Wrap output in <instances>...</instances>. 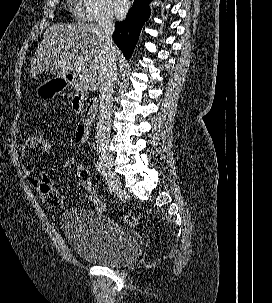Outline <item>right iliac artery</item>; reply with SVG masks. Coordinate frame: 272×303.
<instances>
[{
    "label": "right iliac artery",
    "mask_w": 272,
    "mask_h": 303,
    "mask_svg": "<svg viewBox=\"0 0 272 303\" xmlns=\"http://www.w3.org/2000/svg\"><path fill=\"white\" fill-rule=\"evenodd\" d=\"M95 167L97 168V170L99 171V173L103 176V178L105 179L107 185H108V189H109V192L111 194H113L114 192V186L111 182V179L109 177V174L108 172L106 171L105 167L103 166L102 162L100 161H97L96 164H95Z\"/></svg>",
    "instance_id": "right-iliac-artery-1"
}]
</instances>
